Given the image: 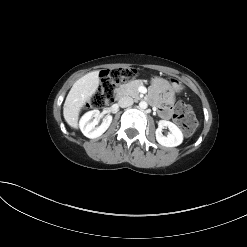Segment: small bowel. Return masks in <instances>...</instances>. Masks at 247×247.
I'll return each instance as SVG.
<instances>
[{"label":"small bowel","mask_w":247,"mask_h":247,"mask_svg":"<svg viewBox=\"0 0 247 247\" xmlns=\"http://www.w3.org/2000/svg\"><path fill=\"white\" fill-rule=\"evenodd\" d=\"M161 93L162 97H160ZM148 100L150 103L158 106L160 115L163 118L168 119L172 116L174 95L166 81L162 79L154 80L152 84V91L148 97Z\"/></svg>","instance_id":"small-bowel-1"}]
</instances>
